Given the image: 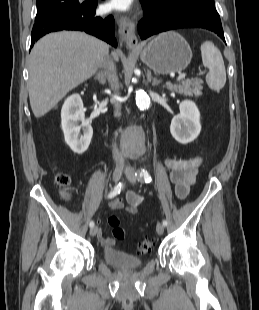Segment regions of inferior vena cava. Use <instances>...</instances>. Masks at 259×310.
Wrapping results in <instances>:
<instances>
[{
  "mask_svg": "<svg viewBox=\"0 0 259 310\" xmlns=\"http://www.w3.org/2000/svg\"><path fill=\"white\" fill-rule=\"evenodd\" d=\"M102 65L107 68V72L109 74V83L112 87V89L118 93V89H119V86H118V77L116 75V67L114 65V62L112 59H110L109 57L105 58L102 62ZM114 108H115V111H114V115L115 117H118L120 115V110H121V105L118 101H115L114 102ZM113 155H114V159L116 161V163L118 165H121L124 163V159H123V155L118 152V150L116 148H114L113 150Z\"/></svg>",
  "mask_w": 259,
  "mask_h": 310,
  "instance_id": "602c4592",
  "label": "inferior vena cava"
}]
</instances>
